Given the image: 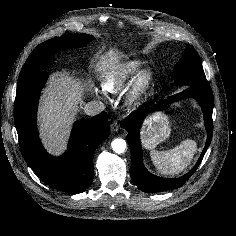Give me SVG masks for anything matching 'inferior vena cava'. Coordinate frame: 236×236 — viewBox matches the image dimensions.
Returning a JSON list of instances; mask_svg holds the SVG:
<instances>
[{
	"instance_id": "inferior-vena-cava-1",
	"label": "inferior vena cava",
	"mask_w": 236,
	"mask_h": 236,
	"mask_svg": "<svg viewBox=\"0 0 236 236\" xmlns=\"http://www.w3.org/2000/svg\"><path fill=\"white\" fill-rule=\"evenodd\" d=\"M105 110V106L101 101H90L84 107L85 114L95 116Z\"/></svg>"
}]
</instances>
